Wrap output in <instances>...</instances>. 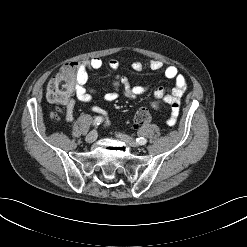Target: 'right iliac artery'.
Instances as JSON below:
<instances>
[{"label": "right iliac artery", "mask_w": 247, "mask_h": 247, "mask_svg": "<svg viewBox=\"0 0 247 247\" xmlns=\"http://www.w3.org/2000/svg\"><path fill=\"white\" fill-rule=\"evenodd\" d=\"M102 121H103V118L100 117V116H98V117L95 118V120H94V122H93V125H94V126H98L99 124L102 123Z\"/></svg>", "instance_id": "82829eb1"}]
</instances>
